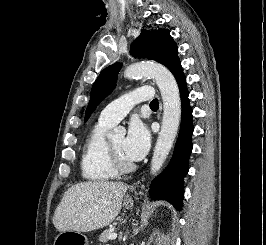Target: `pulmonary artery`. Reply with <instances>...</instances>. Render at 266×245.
Wrapping results in <instances>:
<instances>
[{
  "instance_id": "e3ab8cb5",
  "label": "pulmonary artery",
  "mask_w": 266,
  "mask_h": 245,
  "mask_svg": "<svg viewBox=\"0 0 266 245\" xmlns=\"http://www.w3.org/2000/svg\"><path fill=\"white\" fill-rule=\"evenodd\" d=\"M152 86H137V91H128V96H119V100H113V104L106 106L99 114L98 120L109 124H116L125 117L133 106L140 101H148V96H153ZM132 96V101H130Z\"/></svg>"
}]
</instances>
